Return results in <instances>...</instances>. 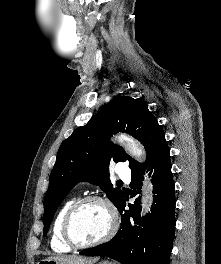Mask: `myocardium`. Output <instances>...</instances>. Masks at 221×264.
<instances>
[{
  "label": "myocardium",
  "mask_w": 221,
  "mask_h": 264,
  "mask_svg": "<svg viewBox=\"0 0 221 264\" xmlns=\"http://www.w3.org/2000/svg\"><path fill=\"white\" fill-rule=\"evenodd\" d=\"M87 203H98L102 205L108 212L109 218H110V224L108 231L106 234L101 237L100 239L89 242V243H79L77 242L71 231V224H72V219L75 214V212L83 205ZM119 226V217L117 210L115 209L114 205L106 198L96 196V195H89L82 197L76 201H74L68 210L66 211L63 222H62V237L67 245H69L71 248L75 249H86V248H91V247H96L99 245H102L106 242H108L117 232Z\"/></svg>",
  "instance_id": "myocardium-1"
}]
</instances>
